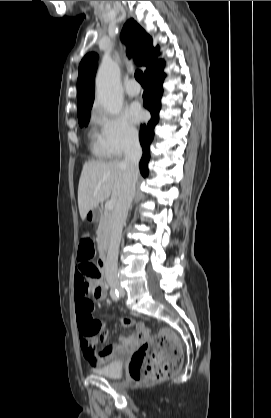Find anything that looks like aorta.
<instances>
[{
  "mask_svg": "<svg viewBox=\"0 0 271 418\" xmlns=\"http://www.w3.org/2000/svg\"><path fill=\"white\" fill-rule=\"evenodd\" d=\"M97 99L104 110L118 115L123 107L119 66L113 60H104L96 77Z\"/></svg>",
  "mask_w": 271,
  "mask_h": 418,
  "instance_id": "1",
  "label": "aorta"
}]
</instances>
